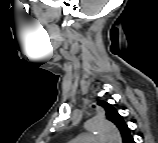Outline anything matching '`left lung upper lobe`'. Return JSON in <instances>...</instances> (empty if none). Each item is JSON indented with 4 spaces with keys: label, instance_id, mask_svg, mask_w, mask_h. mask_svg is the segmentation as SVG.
I'll return each instance as SVG.
<instances>
[{
    "label": "left lung upper lobe",
    "instance_id": "left-lung-upper-lobe-1",
    "mask_svg": "<svg viewBox=\"0 0 158 143\" xmlns=\"http://www.w3.org/2000/svg\"><path fill=\"white\" fill-rule=\"evenodd\" d=\"M97 104L105 110L107 119L114 123L119 129L122 139L130 135L129 128L123 120V117L119 115L117 110L111 104L105 101H99Z\"/></svg>",
    "mask_w": 158,
    "mask_h": 143
}]
</instances>
